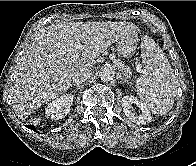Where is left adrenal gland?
Segmentation results:
<instances>
[{
	"label": "left adrenal gland",
	"instance_id": "1",
	"mask_svg": "<svg viewBox=\"0 0 196 166\" xmlns=\"http://www.w3.org/2000/svg\"><path fill=\"white\" fill-rule=\"evenodd\" d=\"M120 78H121L124 82L129 83V81H128L127 79L123 78L122 76H120Z\"/></svg>",
	"mask_w": 196,
	"mask_h": 166
}]
</instances>
